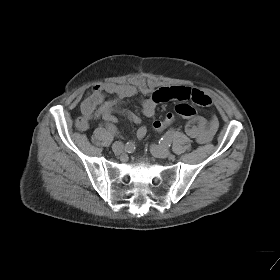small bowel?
Returning <instances> with one entry per match:
<instances>
[{"label": "small bowel", "instance_id": "1", "mask_svg": "<svg viewBox=\"0 0 280 280\" xmlns=\"http://www.w3.org/2000/svg\"><path fill=\"white\" fill-rule=\"evenodd\" d=\"M136 94L137 88L130 84L105 82L95 85L81 104L82 118L86 122V125L81 129H86L89 121L98 118L112 124L115 122V114H120L139 126L136 136L142 139L147 133V128L142 124V119L123 106L125 99L132 98ZM107 95H113L114 97L107 99ZM170 100L191 101L199 106H209L211 104L210 97L199 90L188 87H161L153 91L148 98L142 100L141 112L144 116L151 118L155 115L156 108L160 103ZM218 125L216 117L205 119L202 116L194 115L189 118L185 130L190 137L203 144L212 140Z\"/></svg>", "mask_w": 280, "mask_h": 280}]
</instances>
